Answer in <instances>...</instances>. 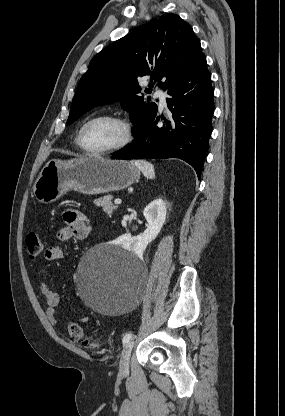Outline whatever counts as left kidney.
Returning <instances> with one entry per match:
<instances>
[{"instance_id":"left-kidney-1","label":"left kidney","mask_w":285,"mask_h":416,"mask_svg":"<svg viewBox=\"0 0 285 416\" xmlns=\"http://www.w3.org/2000/svg\"><path fill=\"white\" fill-rule=\"evenodd\" d=\"M166 204L159 198V200H153L151 204H148L143 210V214L148 222V226L140 236H123L122 244L126 248H130L133 252H140L143 254L148 244L157 238L165 220H166Z\"/></svg>"}]
</instances>
